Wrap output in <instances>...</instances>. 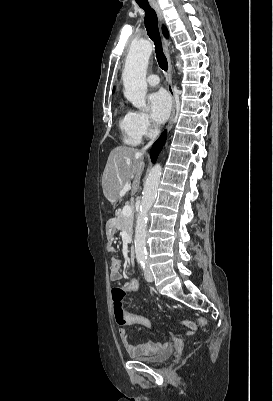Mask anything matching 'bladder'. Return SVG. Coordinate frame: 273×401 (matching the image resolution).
I'll return each mask as SVG.
<instances>
[{
  "mask_svg": "<svg viewBox=\"0 0 273 401\" xmlns=\"http://www.w3.org/2000/svg\"><path fill=\"white\" fill-rule=\"evenodd\" d=\"M172 355H173V348L168 347L163 351H161L159 354L152 357L131 355V358L135 361H140L151 365H159L168 361L172 357Z\"/></svg>",
  "mask_w": 273,
  "mask_h": 401,
  "instance_id": "bladder-1",
  "label": "bladder"
}]
</instances>
